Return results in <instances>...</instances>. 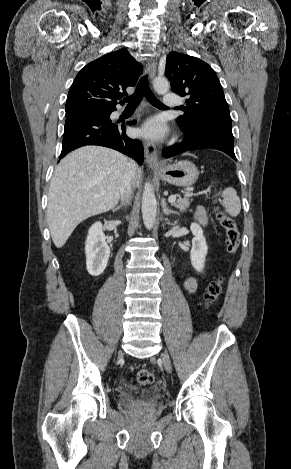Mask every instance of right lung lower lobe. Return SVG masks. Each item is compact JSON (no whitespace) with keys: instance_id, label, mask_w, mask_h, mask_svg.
Masks as SVG:
<instances>
[{"instance_id":"98d812e1","label":"right lung lower lobe","mask_w":291,"mask_h":469,"mask_svg":"<svg viewBox=\"0 0 291 469\" xmlns=\"http://www.w3.org/2000/svg\"><path fill=\"white\" fill-rule=\"evenodd\" d=\"M116 106H103L66 116L60 159L72 150L86 145H100L122 152L143 164V146L125 133V124L110 120ZM136 121L128 122V125Z\"/></svg>"}]
</instances>
